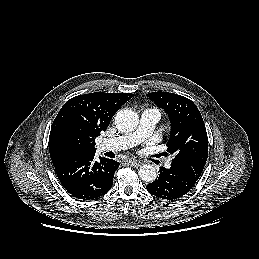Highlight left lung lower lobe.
I'll return each instance as SVG.
<instances>
[{"label":"left lung lower lobe","instance_id":"0a47b994","mask_svg":"<svg viewBox=\"0 0 259 259\" xmlns=\"http://www.w3.org/2000/svg\"><path fill=\"white\" fill-rule=\"evenodd\" d=\"M197 180L184 170L171 164L169 169L161 167L159 177L148 184L146 188L149 193L156 197L173 200L188 193Z\"/></svg>","mask_w":259,"mask_h":259}]
</instances>
